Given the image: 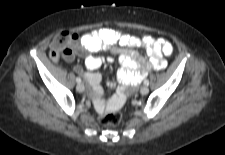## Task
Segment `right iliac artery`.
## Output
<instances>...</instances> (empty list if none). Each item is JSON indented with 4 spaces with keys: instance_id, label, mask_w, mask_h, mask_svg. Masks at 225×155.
Instances as JSON below:
<instances>
[{
    "instance_id": "1",
    "label": "right iliac artery",
    "mask_w": 225,
    "mask_h": 155,
    "mask_svg": "<svg viewBox=\"0 0 225 155\" xmlns=\"http://www.w3.org/2000/svg\"><path fill=\"white\" fill-rule=\"evenodd\" d=\"M76 82H77V83H81V78H80V77H77V78H76Z\"/></svg>"
}]
</instances>
